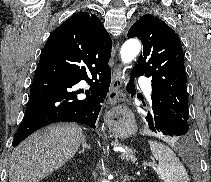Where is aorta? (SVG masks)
I'll use <instances>...</instances> for the list:
<instances>
[{
	"label": "aorta",
	"mask_w": 211,
	"mask_h": 182,
	"mask_svg": "<svg viewBox=\"0 0 211 182\" xmlns=\"http://www.w3.org/2000/svg\"><path fill=\"white\" fill-rule=\"evenodd\" d=\"M141 43L137 39L127 40L121 47L120 55L124 64L130 63L140 52ZM109 182V181H102Z\"/></svg>",
	"instance_id": "obj_1"
}]
</instances>
